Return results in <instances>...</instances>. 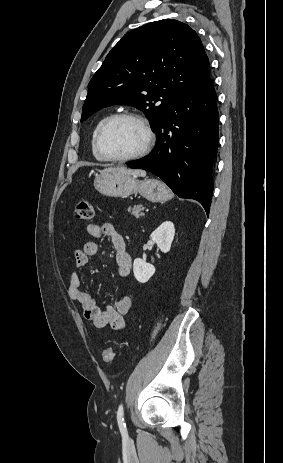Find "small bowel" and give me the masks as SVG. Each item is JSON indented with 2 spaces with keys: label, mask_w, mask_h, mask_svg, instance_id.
I'll return each instance as SVG.
<instances>
[{
  "label": "small bowel",
  "mask_w": 283,
  "mask_h": 463,
  "mask_svg": "<svg viewBox=\"0 0 283 463\" xmlns=\"http://www.w3.org/2000/svg\"><path fill=\"white\" fill-rule=\"evenodd\" d=\"M89 235L94 238L108 237L115 251L117 273L125 278L130 274L132 260L126 250L124 237L116 230L113 224L104 223L101 226L90 223L86 226ZM99 253V245L96 241H88L82 248L75 249L74 260L77 270L83 268L90 257ZM77 270H74L69 279L68 294L71 299L79 304L86 320L96 327H111L115 330H123L126 326L125 315L132 307V299L128 295L118 298L113 305L100 308L94 298L82 289L81 278Z\"/></svg>",
  "instance_id": "small-bowel-1"
}]
</instances>
